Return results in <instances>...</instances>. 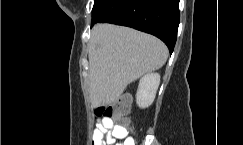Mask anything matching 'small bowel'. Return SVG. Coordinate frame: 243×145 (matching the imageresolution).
Instances as JSON below:
<instances>
[{
	"label": "small bowel",
	"mask_w": 243,
	"mask_h": 145,
	"mask_svg": "<svg viewBox=\"0 0 243 145\" xmlns=\"http://www.w3.org/2000/svg\"><path fill=\"white\" fill-rule=\"evenodd\" d=\"M117 139L122 141L116 142ZM93 145H135V143L125 128L114 124L112 119H101L93 132Z\"/></svg>",
	"instance_id": "small-bowel-1"
}]
</instances>
